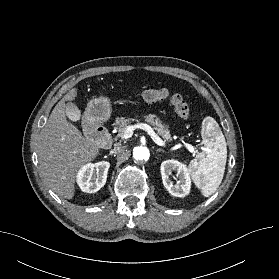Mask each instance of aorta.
Instances as JSON below:
<instances>
[{"mask_svg":"<svg viewBox=\"0 0 279 279\" xmlns=\"http://www.w3.org/2000/svg\"><path fill=\"white\" fill-rule=\"evenodd\" d=\"M150 153L147 147L139 146L134 148L133 151V157L137 161L145 160L147 161L149 159Z\"/></svg>","mask_w":279,"mask_h":279,"instance_id":"aorta-1","label":"aorta"}]
</instances>
